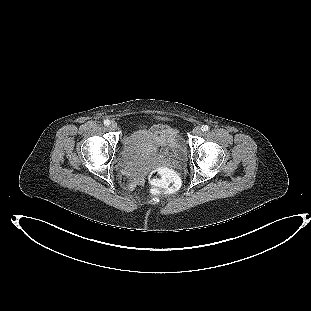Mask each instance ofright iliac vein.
Returning <instances> with one entry per match:
<instances>
[{"mask_svg":"<svg viewBox=\"0 0 311 311\" xmlns=\"http://www.w3.org/2000/svg\"><path fill=\"white\" fill-rule=\"evenodd\" d=\"M109 128H110L111 130H113V131L116 130V129L118 128L117 123L112 122V123L110 124Z\"/></svg>","mask_w":311,"mask_h":311,"instance_id":"obj_1","label":"right iliac vein"}]
</instances>
